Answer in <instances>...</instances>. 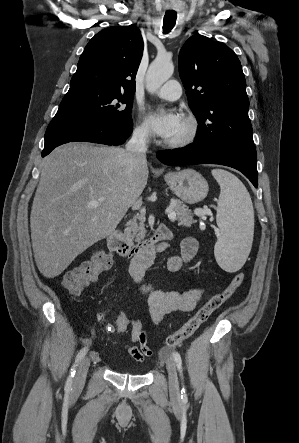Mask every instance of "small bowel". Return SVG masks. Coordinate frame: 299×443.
<instances>
[{"mask_svg": "<svg viewBox=\"0 0 299 443\" xmlns=\"http://www.w3.org/2000/svg\"><path fill=\"white\" fill-rule=\"evenodd\" d=\"M197 247L198 244L194 238H186L182 242L179 255H168L166 257L165 262L168 270L173 272L181 270L194 257ZM129 273L133 281L139 286L140 292L146 297L150 316L156 324L162 322L165 316L171 312L194 310L204 292L201 288H192L184 292L156 289L145 280V268L134 263L130 265ZM96 318L99 323H104L102 314H97ZM103 328L105 332L115 333L112 324H105ZM125 347L130 356L138 362H143L153 354L147 345L146 338L139 345L126 344Z\"/></svg>", "mask_w": 299, "mask_h": 443, "instance_id": "1", "label": "small bowel"}]
</instances>
